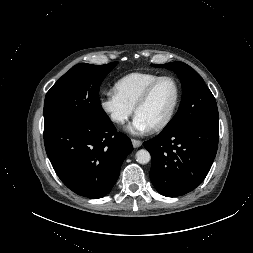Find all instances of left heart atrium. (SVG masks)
<instances>
[{
    "label": "left heart atrium",
    "instance_id": "39dd6f15",
    "mask_svg": "<svg viewBox=\"0 0 253 253\" xmlns=\"http://www.w3.org/2000/svg\"><path fill=\"white\" fill-rule=\"evenodd\" d=\"M151 129L152 128L137 115L127 127L128 131L137 135L148 133Z\"/></svg>",
    "mask_w": 253,
    "mask_h": 253
}]
</instances>
